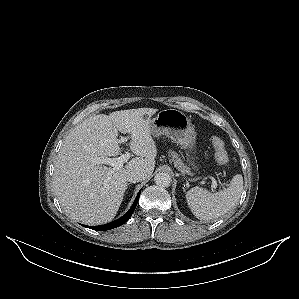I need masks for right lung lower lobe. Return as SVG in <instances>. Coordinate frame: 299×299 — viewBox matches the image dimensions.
Wrapping results in <instances>:
<instances>
[{
	"label": "right lung lower lobe",
	"instance_id": "98d812e1",
	"mask_svg": "<svg viewBox=\"0 0 299 299\" xmlns=\"http://www.w3.org/2000/svg\"><path fill=\"white\" fill-rule=\"evenodd\" d=\"M140 193L141 191H139L133 205L131 206L130 210L124 215L122 216L121 218L117 219L116 221L114 222H111L109 224H105V225H100V226H86L87 228H90V229H93V230H99V231H104V230H110V229H113V228H116L118 226H121L122 224H124L130 217L131 215L133 214L135 208H136V205L138 203V200H139V196H140Z\"/></svg>",
	"mask_w": 299,
	"mask_h": 299
}]
</instances>
